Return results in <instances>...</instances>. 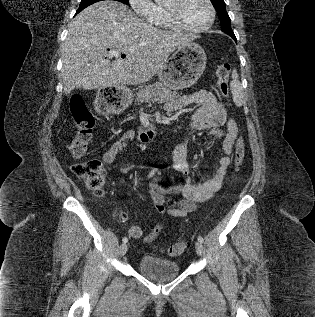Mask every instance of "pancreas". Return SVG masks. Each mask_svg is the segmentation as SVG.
<instances>
[{
	"instance_id": "obj_1",
	"label": "pancreas",
	"mask_w": 315,
	"mask_h": 317,
	"mask_svg": "<svg viewBox=\"0 0 315 317\" xmlns=\"http://www.w3.org/2000/svg\"><path fill=\"white\" fill-rule=\"evenodd\" d=\"M179 96L177 89L171 91L162 84H153L139 90L136 96L138 104L143 102L165 103Z\"/></svg>"
}]
</instances>
